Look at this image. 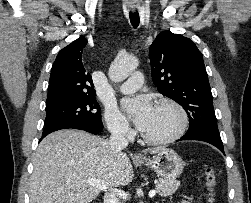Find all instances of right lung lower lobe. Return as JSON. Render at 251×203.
<instances>
[{"instance_id":"right-lung-lower-lobe-1","label":"right lung lower lobe","mask_w":251,"mask_h":203,"mask_svg":"<svg viewBox=\"0 0 251 203\" xmlns=\"http://www.w3.org/2000/svg\"><path fill=\"white\" fill-rule=\"evenodd\" d=\"M69 128L84 130V131L90 132L92 134H97L100 132V130H98L88 124H85L83 122L67 121V122H62V123L46 126L43 131V135H42L41 139H43L45 136H47L48 134H50L54 131L61 130V129H69Z\"/></svg>"}]
</instances>
